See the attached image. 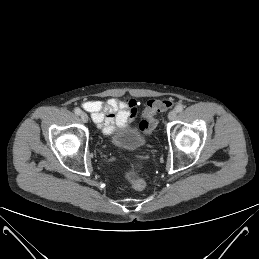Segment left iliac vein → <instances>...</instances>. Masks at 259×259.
<instances>
[{
	"label": "left iliac vein",
	"mask_w": 259,
	"mask_h": 259,
	"mask_svg": "<svg viewBox=\"0 0 259 259\" xmlns=\"http://www.w3.org/2000/svg\"><path fill=\"white\" fill-rule=\"evenodd\" d=\"M176 116H177V111L171 110V111L169 112V114H168V119H169L170 121H172V120H174V119L176 118Z\"/></svg>",
	"instance_id": "4c4485c4"
}]
</instances>
